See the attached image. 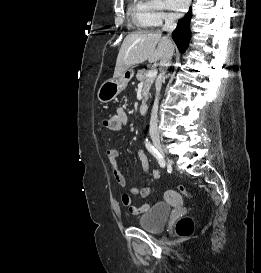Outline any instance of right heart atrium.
Wrapping results in <instances>:
<instances>
[{"mask_svg":"<svg viewBox=\"0 0 261 273\" xmlns=\"http://www.w3.org/2000/svg\"><path fill=\"white\" fill-rule=\"evenodd\" d=\"M145 17L149 27H159L173 19L162 0H144Z\"/></svg>","mask_w":261,"mask_h":273,"instance_id":"d8ad5b80","label":"right heart atrium"}]
</instances>
